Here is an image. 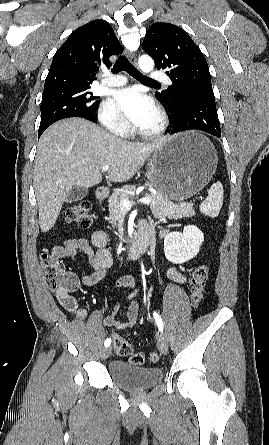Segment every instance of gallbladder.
Listing matches in <instances>:
<instances>
[{"instance_id": "obj_1", "label": "gallbladder", "mask_w": 269, "mask_h": 445, "mask_svg": "<svg viewBox=\"0 0 269 445\" xmlns=\"http://www.w3.org/2000/svg\"><path fill=\"white\" fill-rule=\"evenodd\" d=\"M88 194V188L73 186L67 196L66 202L72 203L77 202L85 198Z\"/></svg>"}]
</instances>
